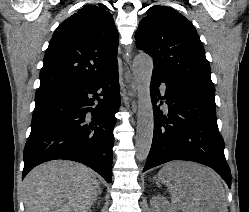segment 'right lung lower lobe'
<instances>
[{"label": "right lung lower lobe", "instance_id": "98d812e1", "mask_svg": "<svg viewBox=\"0 0 249 212\" xmlns=\"http://www.w3.org/2000/svg\"><path fill=\"white\" fill-rule=\"evenodd\" d=\"M35 98L22 178L43 162L63 159L80 162L111 183L114 114L120 106L118 67L96 81Z\"/></svg>", "mask_w": 249, "mask_h": 212}]
</instances>
